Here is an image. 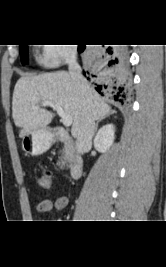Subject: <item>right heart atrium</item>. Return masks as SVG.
Returning a JSON list of instances; mask_svg holds the SVG:
<instances>
[{"label":"right heart atrium","instance_id":"obj_1","mask_svg":"<svg viewBox=\"0 0 166 267\" xmlns=\"http://www.w3.org/2000/svg\"><path fill=\"white\" fill-rule=\"evenodd\" d=\"M74 54L72 46L56 45L53 43L44 44L42 55L43 62L49 67H56Z\"/></svg>","mask_w":166,"mask_h":267}]
</instances>
